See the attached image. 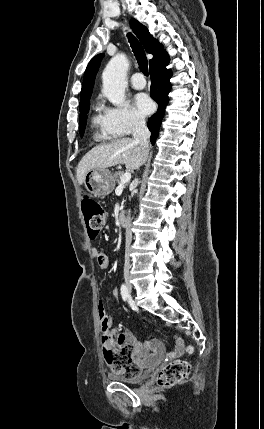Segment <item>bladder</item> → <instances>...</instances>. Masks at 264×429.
I'll list each match as a JSON object with an SVG mask.
<instances>
[{
    "label": "bladder",
    "instance_id": "bladder-1",
    "mask_svg": "<svg viewBox=\"0 0 264 429\" xmlns=\"http://www.w3.org/2000/svg\"><path fill=\"white\" fill-rule=\"evenodd\" d=\"M109 377L113 381H116L119 383L134 385V384H139V383L143 382L144 380H146L149 377V372L145 371V372L139 373L133 377H125V376H120V375H116V374H111V375H109Z\"/></svg>",
    "mask_w": 264,
    "mask_h": 429
}]
</instances>
